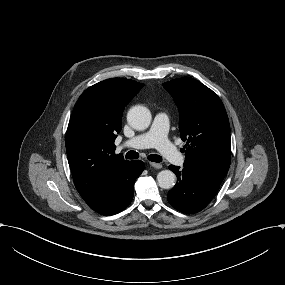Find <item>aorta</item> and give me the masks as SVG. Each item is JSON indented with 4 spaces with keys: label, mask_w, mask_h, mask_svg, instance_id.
Listing matches in <instances>:
<instances>
[{
    "label": "aorta",
    "mask_w": 285,
    "mask_h": 285,
    "mask_svg": "<svg viewBox=\"0 0 285 285\" xmlns=\"http://www.w3.org/2000/svg\"><path fill=\"white\" fill-rule=\"evenodd\" d=\"M152 117L144 106H134L127 114L128 124L135 130H145L149 127ZM176 175L170 170H162L157 175L158 185L163 189H171L175 185Z\"/></svg>",
    "instance_id": "aorta-1"
}]
</instances>
